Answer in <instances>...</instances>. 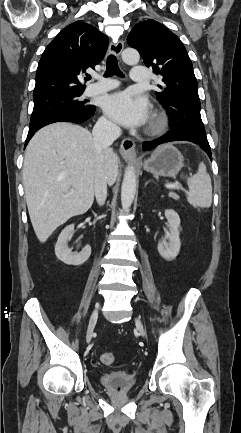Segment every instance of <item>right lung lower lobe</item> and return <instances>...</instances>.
<instances>
[{
  "label": "right lung lower lobe",
  "mask_w": 241,
  "mask_h": 433,
  "mask_svg": "<svg viewBox=\"0 0 241 433\" xmlns=\"http://www.w3.org/2000/svg\"><path fill=\"white\" fill-rule=\"evenodd\" d=\"M94 111H95V107L93 105H90V107L86 111H82V112H71V111L59 112V113L52 114V115L36 122L33 125H30L27 139L25 142V147L28 144L29 140L34 135V133L36 131H38L40 128H42L48 124L55 123V122H61V121L73 122V123L80 124V123L86 121L87 119H89L94 114Z\"/></svg>",
  "instance_id": "right-lung-lower-lobe-1"
}]
</instances>
